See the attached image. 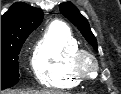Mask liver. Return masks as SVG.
<instances>
[{
  "label": "liver",
  "instance_id": "6515ba94",
  "mask_svg": "<svg viewBox=\"0 0 121 94\" xmlns=\"http://www.w3.org/2000/svg\"><path fill=\"white\" fill-rule=\"evenodd\" d=\"M1 94H62L57 91L52 90H42V91H19V90H10V91H1Z\"/></svg>",
  "mask_w": 121,
  "mask_h": 94
}]
</instances>
